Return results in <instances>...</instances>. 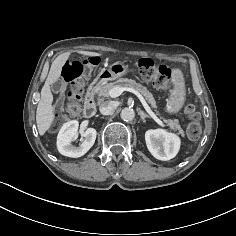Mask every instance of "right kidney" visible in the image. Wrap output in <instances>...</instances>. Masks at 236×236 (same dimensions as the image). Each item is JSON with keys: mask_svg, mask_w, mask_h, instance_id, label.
<instances>
[{"mask_svg": "<svg viewBox=\"0 0 236 236\" xmlns=\"http://www.w3.org/2000/svg\"><path fill=\"white\" fill-rule=\"evenodd\" d=\"M78 127L79 123L76 120L69 121L61 127L57 136V148L62 155L78 158L93 146L97 135L94 128H88L82 133L84 139L78 147L71 144L73 137L78 134Z\"/></svg>", "mask_w": 236, "mask_h": 236, "instance_id": "1", "label": "right kidney"}]
</instances>
